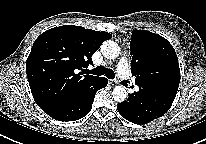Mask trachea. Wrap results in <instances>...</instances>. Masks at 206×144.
<instances>
[{
	"label": "trachea",
	"mask_w": 206,
	"mask_h": 144,
	"mask_svg": "<svg viewBox=\"0 0 206 144\" xmlns=\"http://www.w3.org/2000/svg\"><path fill=\"white\" fill-rule=\"evenodd\" d=\"M89 74L101 76L105 75L108 79H114L115 73L112 69L105 68L104 66H98L94 68L93 70L88 71Z\"/></svg>",
	"instance_id": "obj_1"
}]
</instances>
